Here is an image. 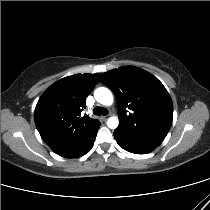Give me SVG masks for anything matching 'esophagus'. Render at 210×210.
Wrapping results in <instances>:
<instances>
[{"instance_id":"34e87169","label":"esophagus","mask_w":210,"mask_h":210,"mask_svg":"<svg viewBox=\"0 0 210 210\" xmlns=\"http://www.w3.org/2000/svg\"><path fill=\"white\" fill-rule=\"evenodd\" d=\"M107 118H108V116H102V117H101V120H102V121H106Z\"/></svg>"}]
</instances>
